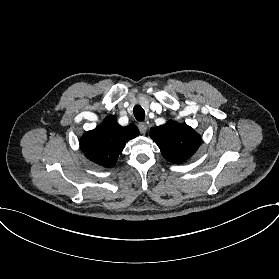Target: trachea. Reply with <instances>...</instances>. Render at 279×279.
Listing matches in <instances>:
<instances>
[{
    "instance_id": "3493384b",
    "label": "trachea",
    "mask_w": 279,
    "mask_h": 279,
    "mask_svg": "<svg viewBox=\"0 0 279 279\" xmlns=\"http://www.w3.org/2000/svg\"><path fill=\"white\" fill-rule=\"evenodd\" d=\"M133 114H134L136 120H138V121H143L144 118H145L144 109L141 106H139V105H136L134 107Z\"/></svg>"
}]
</instances>
